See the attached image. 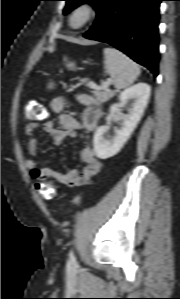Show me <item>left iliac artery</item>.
Masks as SVG:
<instances>
[{
	"label": "left iliac artery",
	"instance_id": "left-iliac-artery-1",
	"mask_svg": "<svg viewBox=\"0 0 180 299\" xmlns=\"http://www.w3.org/2000/svg\"><path fill=\"white\" fill-rule=\"evenodd\" d=\"M69 257H70V262L75 263V257L73 251H70Z\"/></svg>",
	"mask_w": 180,
	"mask_h": 299
}]
</instances>
